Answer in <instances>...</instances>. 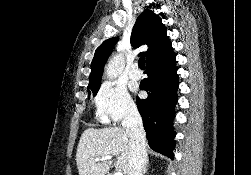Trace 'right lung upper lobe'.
Returning a JSON list of instances; mask_svg holds the SVG:
<instances>
[{
	"instance_id": "right-lung-upper-lobe-1",
	"label": "right lung upper lobe",
	"mask_w": 251,
	"mask_h": 175,
	"mask_svg": "<svg viewBox=\"0 0 251 175\" xmlns=\"http://www.w3.org/2000/svg\"><path fill=\"white\" fill-rule=\"evenodd\" d=\"M166 30L159 15L151 10L144 11L137 18L131 34V45L134 48L143 44L148 46L146 52L140 53L146 56L147 66L157 65L174 55ZM117 41L118 38L107 39L96 49L91 63L88 88L100 87L103 67Z\"/></svg>"
}]
</instances>
